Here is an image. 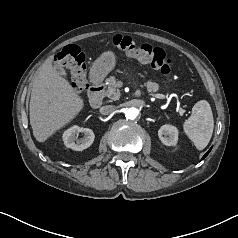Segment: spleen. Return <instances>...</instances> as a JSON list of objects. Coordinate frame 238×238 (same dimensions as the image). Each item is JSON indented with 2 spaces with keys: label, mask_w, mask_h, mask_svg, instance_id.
Wrapping results in <instances>:
<instances>
[{
  "label": "spleen",
  "mask_w": 238,
  "mask_h": 238,
  "mask_svg": "<svg viewBox=\"0 0 238 238\" xmlns=\"http://www.w3.org/2000/svg\"><path fill=\"white\" fill-rule=\"evenodd\" d=\"M213 129L210 104L206 100H200L193 106L192 115L183 124L184 133L198 150H203L212 137Z\"/></svg>",
  "instance_id": "3e777b00"
}]
</instances>
